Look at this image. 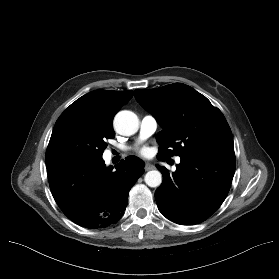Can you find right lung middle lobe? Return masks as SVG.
Listing matches in <instances>:
<instances>
[{
    "label": "right lung middle lobe",
    "mask_w": 279,
    "mask_h": 279,
    "mask_svg": "<svg viewBox=\"0 0 279 279\" xmlns=\"http://www.w3.org/2000/svg\"><path fill=\"white\" fill-rule=\"evenodd\" d=\"M114 136L82 116L59 117L47 147L46 167L101 158L105 140Z\"/></svg>",
    "instance_id": "obj_1"
}]
</instances>
